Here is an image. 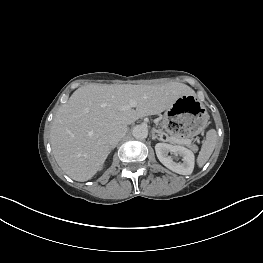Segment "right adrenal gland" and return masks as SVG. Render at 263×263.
Masks as SVG:
<instances>
[{"label": "right adrenal gland", "mask_w": 263, "mask_h": 263, "mask_svg": "<svg viewBox=\"0 0 263 263\" xmlns=\"http://www.w3.org/2000/svg\"><path fill=\"white\" fill-rule=\"evenodd\" d=\"M114 148H115V146L111 147V150L114 149Z\"/></svg>", "instance_id": "right-adrenal-gland-1"}]
</instances>
